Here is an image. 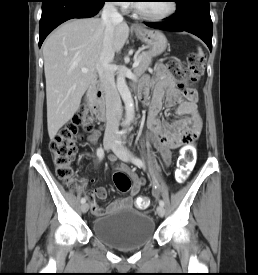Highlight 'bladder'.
<instances>
[{
	"label": "bladder",
	"instance_id": "1",
	"mask_svg": "<svg viewBox=\"0 0 258 275\" xmlns=\"http://www.w3.org/2000/svg\"><path fill=\"white\" fill-rule=\"evenodd\" d=\"M93 234L104 243L117 249H136L146 245L155 234L152 217L134 208L96 218Z\"/></svg>",
	"mask_w": 258,
	"mask_h": 275
}]
</instances>
